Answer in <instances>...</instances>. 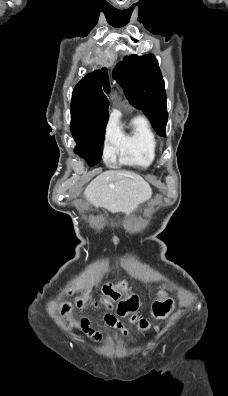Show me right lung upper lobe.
Wrapping results in <instances>:
<instances>
[{
	"label": "right lung upper lobe",
	"instance_id": "cb5924a9",
	"mask_svg": "<svg viewBox=\"0 0 228 396\" xmlns=\"http://www.w3.org/2000/svg\"><path fill=\"white\" fill-rule=\"evenodd\" d=\"M109 90L106 68L87 74L74 88L71 113L90 117L108 111L109 102L103 91Z\"/></svg>",
	"mask_w": 228,
	"mask_h": 396
}]
</instances>
